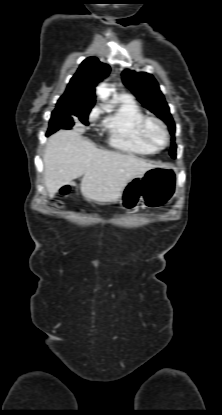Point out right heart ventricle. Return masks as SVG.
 <instances>
[{
    "label": "right heart ventricle",
    "instance_id": "1",
    "mask_svg": "<svg viewBox=\"0 0 222 415\" xmlns=\"http://www.w3.org/2000/svg\"><path fill=\"white\" fill-rule=\"evenodd\" d=\"M117 108L103 122L108 143L121 151L149 155L157 151L141 136L140 123L145 117L140 106L129 96H120L116 100Z\"/></svg>",
    "mask_w": 222,
    "mask_h": 415
}]
</instances>
